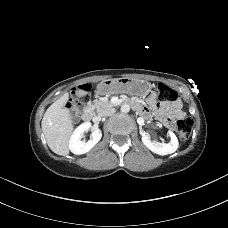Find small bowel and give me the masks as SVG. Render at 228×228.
Wrapping results in <instances>:
<instances>
[{
	"label": "small bowel",
	"instance_id": "c3829d8e",
	"mask_svg": "<svg viewBox=\"0 0 228 228\" xmlns=\"http://www.w3.org/2000/svg\"><path fill=\"white\" fill-rule=\"evenodd\" d=\"M134 103L136 104L135 107L136 109L140 110L142 113L144 114H148L149 113V109L146 107H143L139 104V102L137 100H133ZM147 101L150 104H154L155 103V94L151 93L148 98ZM182 104L180 100H176L173 103L169 104V105H158L157 106V110L159 112V116L160 119L162 121H164L167 124H170L173 120V118H181L183 117V112L181 110Z\"/></svg>",
	"mask_w": 228,
	"mask_h": 228
}]
</instances>
